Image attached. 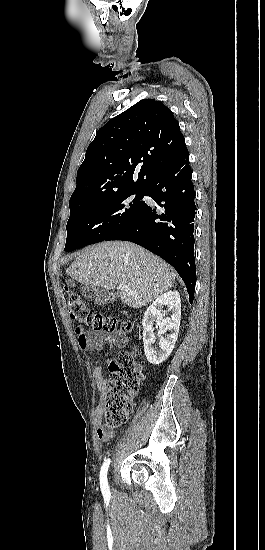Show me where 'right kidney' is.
I'll return each mask as SVG.
<instances>
[{
    "instance_id": "right-kidney-1",
    "label": "right kidney",
    "mask_w": 265,
    "mask_h": 550,
    "mask_svg": "<svg viewBox=\"0 0 265 550\" xmlns=\"http://www.w3.org/2000/svg\"><path fill=\"white\" fill-rule=\"evenodd\" d=\"M167 307V311L163 308ZM170 317H166L165 313ZM181 319V300L178 291H169L159 296L145 311L143 325V343L145 356L149 363L159 365L171 354L177 341ZM156 321L159 334L170 331L166 337L159 338V350L153 347L155 343L153 322Z\"/></svg>"
}]
</instances>
